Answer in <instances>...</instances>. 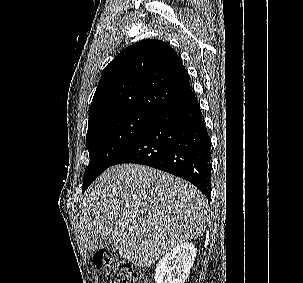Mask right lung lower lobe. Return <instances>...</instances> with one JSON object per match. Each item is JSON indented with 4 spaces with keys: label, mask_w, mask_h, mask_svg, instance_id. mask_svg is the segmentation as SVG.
<instances>
[{
    "label": "right lung lower lobe",
    "mask_w": 303,
    "mask_h": 283,
    "mask_svg": "<svg viewBox=\"0 0 303 283\" xmlns=\"http://www.w3.org/2000/svg\"><path fill=\"white\" fill-rule=\"evenodd\" d=\"M210 139L193 92L156 114L113 162L143 164L181 177L210 201Z\"/></svg>",
    "instance_id": "1"
}]
</instances>
